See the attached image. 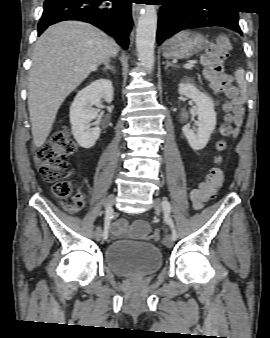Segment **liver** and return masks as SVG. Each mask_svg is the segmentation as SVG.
<instances>
[{
	"mask_svg": "<svg viewBox=\"0 0 270 338\" xmlns=\"http://www.w3.org/2000/svg\"><path fill=\"white\" fill-rule=\"evenodd\" d=\"M118 51L112 38L80 21L54 24L39 37L28 83V110L37 148L49 136L66 97Z\"/></svg>",
	"mask_w": 270,
	"mask_h": 338,
	"instance_id": "liver-1",
	"label": "liver"
}]
</instances>
